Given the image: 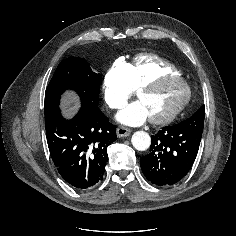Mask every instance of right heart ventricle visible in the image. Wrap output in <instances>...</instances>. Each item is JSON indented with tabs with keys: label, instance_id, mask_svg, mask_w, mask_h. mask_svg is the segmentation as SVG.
I'll list each match as a JSON object with an SVG mask.
<instances>
[{
	"label": "right heart ventricle",
	"instance_id": "e07e8e85",
	"mask_svg": "<svg viewBox=\"0 0 236 236\" xmlns=\"http://www.w3.org/2000/svg\"><path fill=\"white\" fill-rule=\"evenodd\" d=\"M164 74L180 75V71L175 65L159 56L141 54L129 64L128 83L132 89H137L147 81Z\"/></svg>",
	"mask_w": 236,
	"mask_h": 236
}]
</instances>
